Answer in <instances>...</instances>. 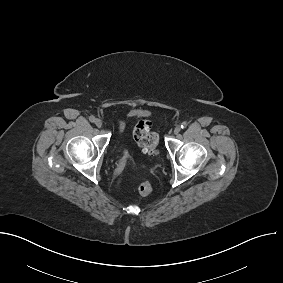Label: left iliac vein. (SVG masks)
<instances>
[{"label": "left iliac vein", "mask_w": 283, "mask_h": 283, "mask_svg": "<svg viewBox=\"0 0 283 283\" xmlns=\"http://www.w3.org/2000/svg\"><path fill=\"white\" fill-rule=\"evenodd\" d=\"M180 130H181L180 126H176L175 129H174V133L178 134L180 132Z\"/></svg>", "instance_id": "4c4485c4"}]
</instances>
